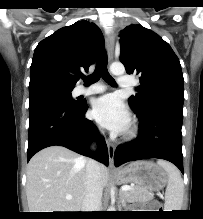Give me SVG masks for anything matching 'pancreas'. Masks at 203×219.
Returning <instances> with one entry per match:
<instances>
[{"label": "pancreas", "instance_id": "pancreas-1", "mask_svg": "<svg viewBox=\"0 0 203 219\" xmlns=\"http://www.w3.org/2000/svg\"><path fill=\"white\" fill-rule=\"evenodd\" d=\"M123 196L125 201L127 202H146L154 198L153 194L147 192L146 190L138 186L131 187L130 190L124 191Z\"/></svg>", "mask_w": 203, "mask_h": 219}]
</instances>
